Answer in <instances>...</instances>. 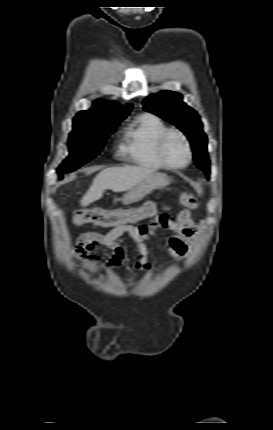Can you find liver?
<instances>
[{"mask_svg": "<svg viewBox=\"0 0 273 430\" xmlns=\"http://www.w3.org/2000/svg\"><path fill=\"white\" fill-rule=\"evenodd\" d=\"M153 169L136 166L111 167L102 170L93 180L89 190L81 200V206H88L90 203L100 199L105 190L114 192H125L131 190L148 175L153 173Z\"/></svg>", "mask_w": 273, "mask_h": 430, "instance_id": "obj_1", "label": "liver"}]
</instances>
